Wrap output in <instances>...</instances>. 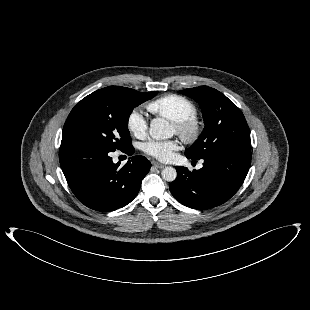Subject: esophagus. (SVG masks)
<instances>
[{
	"instance_id": "1",
	"label": "esophagus",
	"mask_w": 310,
	"mask_h": 310,
	"mask_svg": "<svg viewBox=\"0 0 310 310\" xmlns=\"http://www.w3.org/2000/svg\"><path fill=\"white\" fill-rule=\"evenodd\" d=\"M153 166L155 167V168H158V169H162V168H164V165L163 164H161V163H159V162H153Z\"/></svg>"
}]
</instances>
